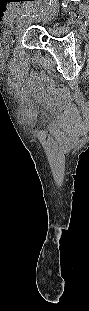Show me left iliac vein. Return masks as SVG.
I'll return each instance as SVG.
<instances>
[{
    "label": "left iliac vein",
    "mask_w": 89,
    "mask_h": 311,
    "mask_svg": "<svg viewBox=\"0 0 89 311\" xmlns=\"http://www.w3.org/2000/svg\"><path fill=\"white\" fill-rule=\"evenodd\" d=\"M54 3H55V0H53V4H52V6L50 7V11H49V12H51L52 9L54 8ZM31 21H32L31 19H28V20L25 22V24L21 23V24L17 27V29L15 30V36H16V37L20 36V35L23 33L25 27H26Z\"/></svg>",
    "instance_id": "left-iliac-vein-1"
}]
</instances>
